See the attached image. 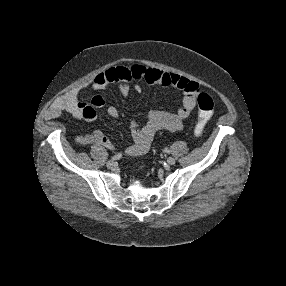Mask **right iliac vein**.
Masks as SVG:
<instances>
[{"label":"right iliac vein","instance_id":"1","mask_svg":"<svg viewBox=\"0 0 286 286\" xmlns=\"http://www.w3.org/2000/svg\"><path fill=\"white\" fill-rule=\"evenodd\" d=\"M106 165H107L108 168H114L115 167V162L112 161V160H109Z\"/></svg>","mask_w":286,"mask_h":286}]
</instances>
